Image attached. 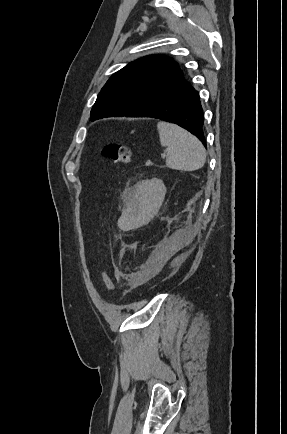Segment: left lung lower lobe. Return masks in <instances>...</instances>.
Instances as JSON below:
<instances>
[{
	"label": "left lung lower lobe",
	"mask_w": 287,
	"mask_h": 434,
	"mask_svg": "<svg viewBox=\"0 0 287 434\" xmlns=\"http://www.w3.org/2000/svg\"><path fill=\"white\" fill-rule=\"evenodd\" d=\"M133 117H151L175 123L195 135L206 147L200 97L186 80L177 89L156 103L142 108Z\"/></svg>",
	"instance_id": "left-lung-lower-lobe-1"
}]
</instances>
